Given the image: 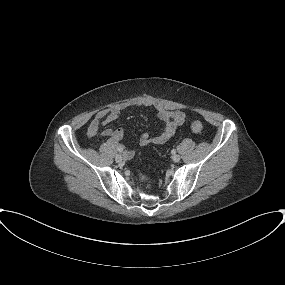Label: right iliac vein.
Instances as JSON below:
<instances>
[{"mask_svg":"<svg viewBox=\"0 0 285 285\" xmlns=\"http://www.w3.org/2000/svg\"><path fill=\"white\" fill-rule=\"evenodd\" d=\"M128 158L130 157L126 154V152H123V155L118 154L115 156L116 162H121L123 159H128Z\"/></svg>","mask_w":285,"mask_h":285,"instance_id":"1","label":"right iliac vein"}]
</instances>
